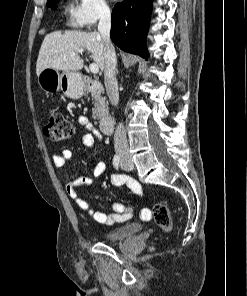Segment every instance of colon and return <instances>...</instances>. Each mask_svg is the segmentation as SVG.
Wrapping results in <instances>:
<instances>
[{"label":"colon","instance_id":"1","mask_svg":"<svg viewBox=\"0 0 247 296\" xmlns=\"http://www.w3.org/2000/svg\"><path fill=\"white\" fill-rule=\"evenodd\" d=\"M44 133L52 141H63L72 136L73 127L61 111L53 110L44 128ZM151 215L160 230L163 232L172 230V219L166 204L158 202L154 204L151 213H144L142 216L147 219Z\"/></svg>","mask_w":247,"mask_h":296}]
</instances>
